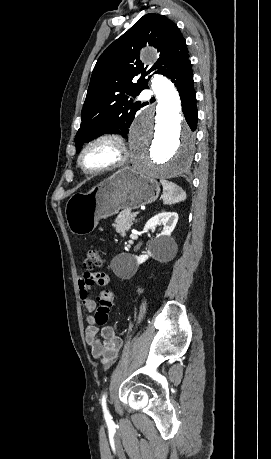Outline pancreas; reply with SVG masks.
<instances>
[{"label": "pancreas", "instance_id": "pancreas-1", "mask_svg": "<svg viewBox=\"0 0 271 459\" xmlns=\"http://www.w3.org/2000/svg\"><path fill=\"white\" fill-rule=\"evenodd\" d=\"M135 218L136 217H131V210H122V212L118 214L113 226L120 235H126V231L131 228Z\"/></svg>", "mask_w": 271, "mask_h": 459}]
</instances>
